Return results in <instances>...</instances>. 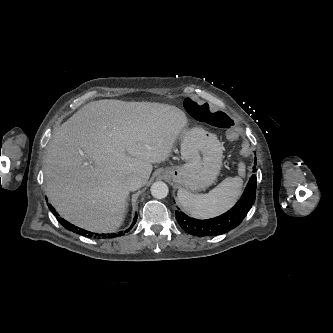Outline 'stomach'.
<instances>
[{
	"label": "stomach",
	"instance_id": "0dacf381",
	"mask_svg": "<svg viewBox=\"0 0 333 333\" xmlns=\"http://www.w3.org/2000/svg\"><path fill=\"white\" fill-rule=\"evenodd\" d=\"M181 156L186 163L169 167L164 174L182 189L197 192L212 185L219 175L223 147L215 134L196 127L182 133Z\"/></svg>",
	"mask_w": 333,
	"mask_h": 333
}]
</instances>
